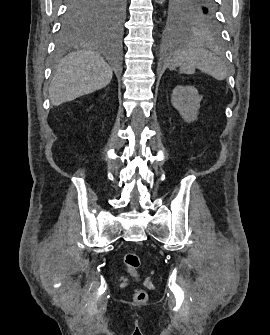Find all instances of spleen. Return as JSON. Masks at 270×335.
<instances>
[{
    "label": "spleen",
    "instance_id": "3e777b00",
    "mask_svg": "<svg viewBox=\"0 0 270 335\" xmlns=\"http://www.w3.org/2000/svg\"><path fill=\"white\" fill-rule=\"evenodd\" d=\"M172 56V60L168 62V68H172V70L176 66H180L183 74H194L195 68H198L204 74L213 76L215 80H225L227 78L228 68L222 58H219L217 54H212L209 50L200 48L196 42L176 46ZM185 60L187 64H182Z\"/></svg>",
    "mask_w": 270,
    "mask_h": 335
}]
</instances>
